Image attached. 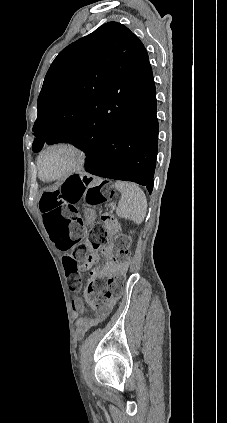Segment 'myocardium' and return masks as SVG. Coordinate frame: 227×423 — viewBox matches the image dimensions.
I'll use <instances>...</instances> for the list:
<instances>
[{
    "label": "myocardium",
    "instance_id": "obj_1",
    "mask_svg": "<svg viewBox=\"0 0 227 423\" xmlns=\"http://www.w3.org/2000/svg\"><path fill=\"white\" fill-rule=\"evenodd\" d=\"M57 148L67 149V150L71 151L75 156V161L63 173H61L57 176H54L52 178H45L43 176V171H42L43 157L49 151H51L53 149H57ZM87 161H88V154H87L86 150L81 145H79L78 143L73 142V141H59V142H55L53 144L48 145L47 147H45L40 152L38 160H37L38 173H39L40 178L43 179L44 181H47V182L67 179L69 177H72V176L80 173L82 170H84V168L87 164Z\"/></svg>",
    "mask_w": 227,
    "mask_h": 423
}]
</instances>
